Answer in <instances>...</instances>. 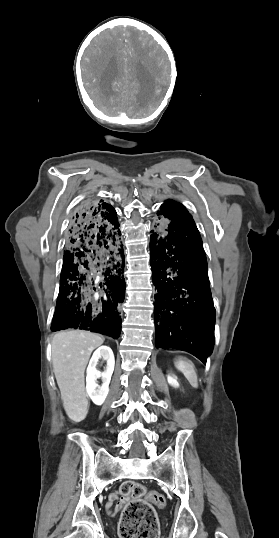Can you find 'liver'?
I'll return each mask as SVG.
<instances>
[{"mask_svg":"<svg viewBox=\"0 0 279 538\" xmlns=\"http://www.w3.org/2000/svg\"><path fill=\"white\" fill-rule=\"evenodd\" d=\"M104 342L101 334L84 330H63L52 340V364L64 410L72 422H82L88 414L84 372L89 358Z\"/></svg>","mask_w":279,"mask_h":538,"instance_id":"1","label":"liver"}]
</instances>
